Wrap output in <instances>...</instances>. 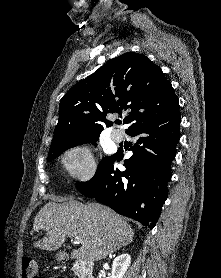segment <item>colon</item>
<instances>
[{
  "label": "colon",
  "instance_id": "colon-1",
  "mask_svg": "<svg viewBox=\"0 0 221 278\" xmlns=\"http://www.w3.org/2000/svg\"><path fill=\"white\" fill-rule=\"evenodd\" d=\"M22 278H44L40 275V268L32 257H25L21 263ZM52 278H64L63 276H55Z\"/></svg>",
  "mask_w": 221,
  "mask_h": 278
}]
</instances>
